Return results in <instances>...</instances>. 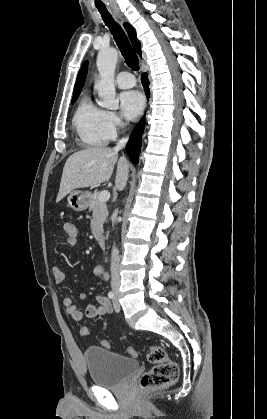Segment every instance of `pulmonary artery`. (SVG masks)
I'll list each match as a JSON object with an SVG mask.
<instances>
[{"mask_svg":"<svg viewBox=\"0 0 267 419\" xmlns=\"http://www.w3.org/2000/svg\"><path fill=\"white\" fill-rule=\"evenodd\" d=\"M135 83V78L130 72H120L116 77V84L120 88H131Z\"/></svg>","mask_w":267,"mask_h":419,"instance_id":"e3ab8cb5","label":"pulmonary artery"}]
</instances>
